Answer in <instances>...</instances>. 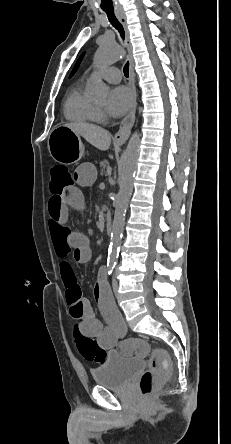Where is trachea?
<instances>
[{
  "mask_svg": "<svg viewBox=\"0 0 231 444\" xmlns=\"http://www.w3.org/2000/svg\"><path fill=\"white\" fill-rule=\"evenodd\" d=\"M104 11L107 14V17H108L110 23L119 31L121 37L124 39V37H125L124 28H123L122 24L116 18L114 10H104ZM123 71H124V75L126 77H128L129 76V63L128 62L124 66Z\"/></svg>",
  "mask_w": 231,
  "mask_h": 444,
  "instance_id": "trachea-1",
  "label": "trachea"
}]
</instances>
